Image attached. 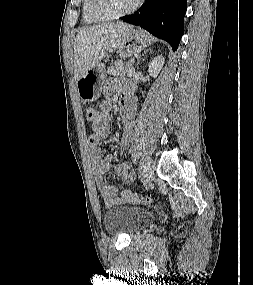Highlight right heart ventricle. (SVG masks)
I'll return each mask as SVG.
<instances>
[{
	"label": "right heart ventricle",
	"mask_w": 253,
	"mask_h": 285,
	"mask_svg": "<svg viewBox=\"0 0 253 285\" xmlns=\"http://www.w3.org/2000/svg\"><path fill=\"white\" fill-rule=\"evenodd\" d=\"M82 18L85 23L92 24L100 22L101 20L95 17L89 10V0H83L82 4Z\"/></svg>",
	"instance_id": "right-heart-ventricle-1"
}]
</instances>
